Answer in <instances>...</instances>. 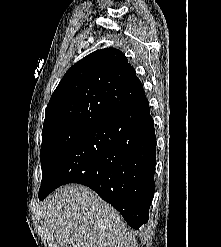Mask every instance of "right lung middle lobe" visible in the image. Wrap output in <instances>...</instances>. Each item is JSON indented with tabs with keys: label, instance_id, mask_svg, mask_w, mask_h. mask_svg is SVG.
<instances>
[{
	"label": "right lung middle lobe",
	"instance_id": "dd1d6c3e",
	"mask_svg": "<svg viewBox=\"0 0 221 247\" xmlns=\"http://www.w3.org/2000/svg\"><path fill=\"white\" fill-rule=\"evenodd\" d=\"M92 127L87 124L73 123L42 131L41 187L68 149Z\"/></svg>",
	"mask_w": 221,
	"mask_h": 247
}]
</instances>
